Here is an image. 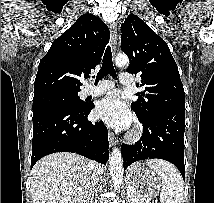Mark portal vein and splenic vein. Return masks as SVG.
I'll list each match as a JSON object with an SVG mask.
<instances>
[{"label": "portal vein and splenic vein", "instance_id": "1", "mask_svg": "<svg viewBox=\"0 0 214 203\" xmlns=\"http://www.w3.org/2000/svg\"><path fill=\"white\" fill-rule=\"evenodd\" d=\"M127 193H128V196L131 197V196H133L134 190L131 187H128Z\"/></svg>", "mask_w": 214, "mask_h": 203}]
</instances>
